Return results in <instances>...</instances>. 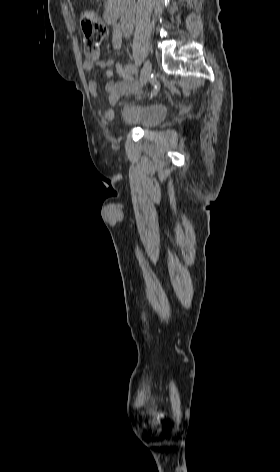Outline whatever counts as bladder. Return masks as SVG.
Returning a JSON list of instances; mask_svg holds the SVG:
<instances>
[{
    "label": "bladder",
    "mask_w": 280,
    "mask_h": 472,
    "mask_svg": "<svg viewBox=\"0 0 280 472\" xmlns=\"http://www.w3.org/2000/svg\"><path fill=\"white\" fill-rule=\"evenodd\" d=\"M167 111V105L160 101H125L121 109V123L125 127L151 128L164 120Z\"/></svg>",
    "instance_id": "31cf9c89"
}]
</instances>
